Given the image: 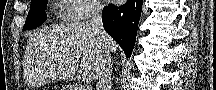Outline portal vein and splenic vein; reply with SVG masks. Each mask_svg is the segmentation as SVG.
I'll use <instances>...</instances> for the list:
<instances>
[{"mask_svg":"<svg viewBox=\"0 0 216 90\" xmlns=\"http://www.w3.org/2000/svg\"><path fill=\"white\" fill-rule=\"evenodd\" d=\"M82 80H84V82H89L90 76H87V74H83Z\"/></svg>","mask_w":216,"mask_h":90,"instance_id":"portal-vein-and-splenic-vein-1","label":"portal vein and splenic vein"}]
</instances>
